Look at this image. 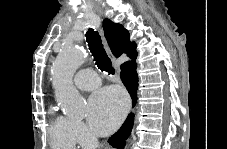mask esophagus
<instances>
[{
  "label": "esophagus",
  "instance_id": "1",
  "mask_svg": "<svg viewBox=\"0 0 227 149\" xmlns=\"http://www.w3.org/2000/svg\"><path fill=\"white\" fill-rule=\"evenodd\" d=\"M104 46H105V49H106V51H107L109 57H110L111 60L115 63V57H114L113 54L111 53L110 48L108 47V45H107V43H106L105 40H104ZM117 68H118V66H117Z\"/></svg>",
  "mask_w": 227,
  "mask_h": 149
}]
</instances>
